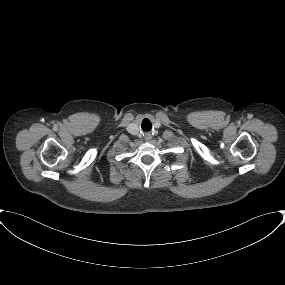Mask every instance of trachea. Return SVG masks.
Instances as JSON below:
<instances>
[{"label":"trachea","instance_id":"trachea-1","mask_svg":"<svg viewBox=\"0 0 285 285\" xmlns=\"http://www.w3.org/2000/svg\"><path fill=\"white\" fill-rule=\"evenodd\" d=\"M141 127L144 131H150L152 129V124L148 119H144Z\"/></svg>","mask_w":285,"mask_h":285}]
</instances>
